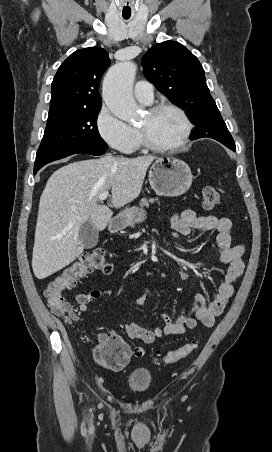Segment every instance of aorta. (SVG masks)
Masks as SVG:
<instances>
[{
  "mask_svg": "<svg viewBox=\"0 0 272 452\" xmlns=\"http://www.w3.org/2000/svg\"><path fill=\"white\" fill-rule=\"evenodd\" d=\"M136 71L134 62H121L109 69L103 81V100L106 106L124 121H132L138 116L137 104L132 95Z\"/></svg>",
  "mask_w": 272,
  "mask_h": 452,
  "instance_id": "1",
  "label": "aorta"
}]
</instances>
